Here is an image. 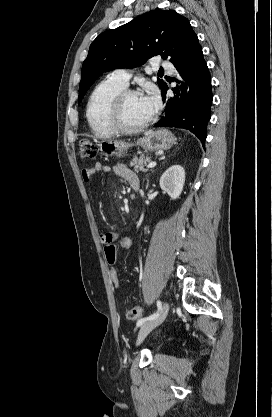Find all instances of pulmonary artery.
<instances>
[{"instance_id": "obj_1", "label": "pulmonary artery", "mask_w": 272, "mask_h": 417, "mask_svg": "<svg viewBox=\"0 0 272 417\" xmlns=\"http://www.w3.org/2000/svg\"><path fill=\"white\" fill-rule=\"evenodd\" d=\"M159 66L167 70H172V65L168 61H161ZM109 77L122 86L127 87L129 85L131 74L126 69H116L110 74Z\"/></svg>"}]
</instances>
